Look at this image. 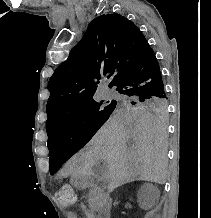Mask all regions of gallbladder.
Masks as SVG:
<instances>
[{
	"instance_id": "1",
	"label": "gallbladder",
	"mask_w": 211,
	"mask_h": 218,
	"mask_svg": "<svg viewBox=\"0 0 211 218\" xmlns=\"http://www.w3.org/2000/svg\"><path fill=\"white\" fill-rule=\"evenodd\" d=\"M92 171L94 175H101L102 171H105V166H92Z\"/></svg>"
}]
</instances>
